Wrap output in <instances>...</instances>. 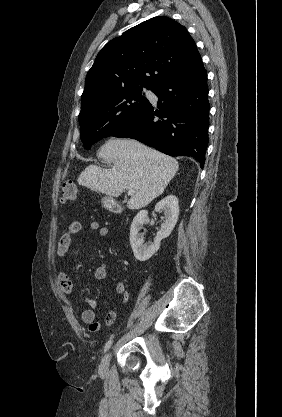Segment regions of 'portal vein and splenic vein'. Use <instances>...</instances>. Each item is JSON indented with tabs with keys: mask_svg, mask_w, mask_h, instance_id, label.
Instances as JSON below:
<instances>
[{
	"mask_svg": "<svg viewBox=\"0 0 282 417\" xmlns=\"http://www.w3.org/2000/svg\"><path fill=\"white\" fill-rule=\"evenodd\" d=\"M133 190H128V194H132Z\"/></svg>",
	"mask_w": 282,
	"mask_h": 417,
	"instance_id": "1",
	"label": "portal vein and splenic vein"
}]
</instances>
